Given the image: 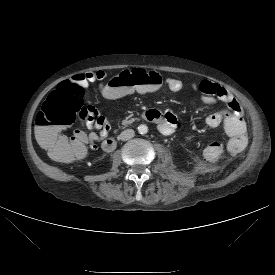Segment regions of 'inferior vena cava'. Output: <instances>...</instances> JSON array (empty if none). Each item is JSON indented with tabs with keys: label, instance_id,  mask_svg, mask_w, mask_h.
<instances>
[{
	"label": "inferior vena cava",
	"instance_id": "1",
	"mask_svg": "<svg viewBox=\"0 0 275 275\" xmlns=\"http://www.w3.org/2000/svg\"><path fill=\"white\" fill-rule=\"evenodd\" d=\"M134 134H135L134 130L126 129L118 136V138L122 141H127L130 138L134 137Z\"/></svg>",
	"mask_w": 275,
	"mask_h": 275
}]
</instances>
